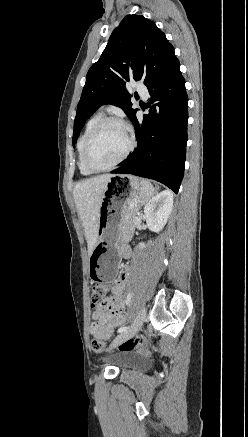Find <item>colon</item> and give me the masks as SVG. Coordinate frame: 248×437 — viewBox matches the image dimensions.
Wrapping results in <instances>:
<instances>
[{"instance_id": "1", "label": "colon", "mask_w": 248, "mask_h": 437, "mask_svg": "<svg viewBox=\"0 0 248 437\" xmlns=\"http://www.w3.org/2000/svg\"><path fill=\"white\" fill-rule=\"evenodd\" d=\"M109 292V286H92L91 301L93 305L102 301ZM148 344L145 337L129 338L123 341L119 349L120 351H133L135 349L144 348ZM91 348L96 353H101L105 349V343L100 339L91 341Z\"/></svg>"}]
</instances>
